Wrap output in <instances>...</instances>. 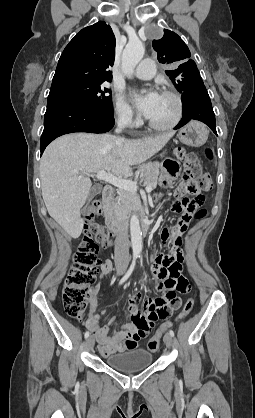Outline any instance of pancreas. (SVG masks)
Masks as SVG:
<instances>
[{"label": "pancreas", "mask_w": 255, "mask_h": 418, "mask_svg": "<svg viewBox=\"0 0 255 418\" xmlns=\"http://www.w3.org/2000/svg\"><path fill=\"white\" fill-rule=\"evenodd\" d=\"M160 164L158 162H148L139 170V174L143 175L144 184L155 189L157 186ZM114 210L123 216L131 213V211L139 210L141 208V201L139 197L133 193L121 189L118 196L113 203Z\"/></svg>", "instance_id": "pancreas-1"}]
</instances>
